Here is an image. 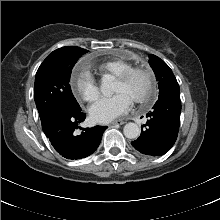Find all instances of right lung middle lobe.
<instances>
[{
  "instance_id": "obj_1",
  "label": "right lung middle lobe",
  "mask_w": 220,
  "mask_h": 220,
  "mask_svg": "<svg viewBox=\"0 0 220 220\" xmlns=\"http://www.w3.org/2000/svg\"><path fill=\"white\" fill-rule=\"evenodd\" d=\"M87 50L57 49L37 70L34 100L41 122L60 112H77L81 108L72 94L69 84L71 71Z\"/></svg>"
}]
</instances>
